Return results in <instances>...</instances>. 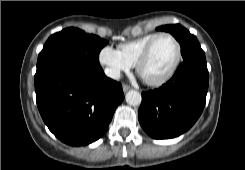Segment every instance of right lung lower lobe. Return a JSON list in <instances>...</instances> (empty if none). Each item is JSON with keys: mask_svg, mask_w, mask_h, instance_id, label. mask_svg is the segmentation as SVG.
I'll return each instance as SVG.
<instances>
[{"mask_svg": "<svg viewBox=\"0 0 245 170\" xmlns=\"http://www.w3.org/2000/svg\"><path fill=\"white\" fill-rule=\"evenodd\" d=\"M39 112L62 142L81 146L98 140L124 94L100 66L69 64L35 82Z\"/></svg>", "mask_w": 245, "mask_h": 170, "instance_id": "right-lung-lower-lobe-1", "label": "right lung lower lobe"}]
</instances>
